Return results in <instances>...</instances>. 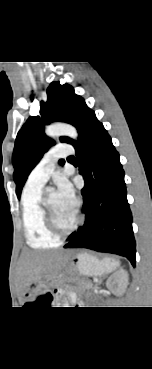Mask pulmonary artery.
<instances>
[{
  "instance_id": "pulmonary-artery-1",
  "label": "pulmonary artery",
  "mask_w": 152,
  "mask_h": 369,
  "mask_svg": "<svg viewBox=\"0 0 152 369\" xmlns=\"http://www.w3.org/2000/svg\"><path fill=\"white\" fill-rule=\"evenodd\" d=\"M73 153L74 149L69 144H59L48 150L30 172L26 185L42 188L53 172L54 163L58 159L66 158Z\"/></svg>"
}]
</instances>
